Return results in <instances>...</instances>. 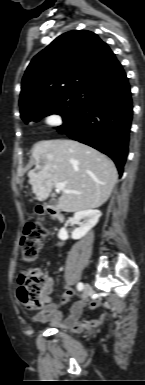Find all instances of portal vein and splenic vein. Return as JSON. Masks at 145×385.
<instances>
[{
    "label": "portal vein and splenic vein",
    "mask_w": 145,
    "mask_h": 385,
    "mask_svg": "<svg viewBox=\"0 0 145 385\" xmlns=\"http://www.w3.org/2000/svg\"><path fill=\"white\" fill-rule=\"evenodd\" d=\"M55 187L57 188V190L64 191L65 193L80 194V192L65 189V183L64 182H56Z\"/></svg>",
    "instance_id": "portal-vein-and-splenic-vein-1"
}]
</instances>
